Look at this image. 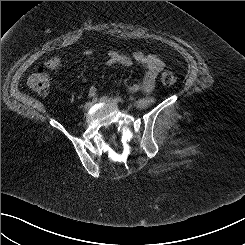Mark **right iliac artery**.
Here are the masks:
<instances>
[{
    "instance_id": "82829eb1",
    "label": "right iliac artery",
    "mask_w": 245,
    "mask_h": 245,
    "mask_svg": "<svg viewBox=\"0 0 245 245\" xmlns=\"http://www.w3.org/2000/svg\"><path fill=\"white\" fill-rule=\"evenodd\" d=\"M97 97L96 96H93V99H92V103H95L97 101Z\"/></svg>"
}]
</instances>
